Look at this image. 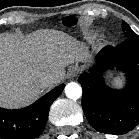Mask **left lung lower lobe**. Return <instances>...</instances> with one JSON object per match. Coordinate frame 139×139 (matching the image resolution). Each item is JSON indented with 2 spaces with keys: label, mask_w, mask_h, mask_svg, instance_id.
Instances as JSON below:
<instances>
[{
  "label": "left lung lower lobe",
  "mask_w": 139,
  "mask_h": 139,
  "mask_svg": "<svg viewBox=\"0 0 139 139\" xmlns=\"http://www.w3.org/2000/svg\"><path fill=\"white\" fill-rule=\"evenodd\" d=\"M96 59L98 67L78 79L83 89L84 113L97 131L125 134L139 123V36L126 38L116 47L103 48ZM104 68L126 73V87H108L102 75Z\"/></svg>",
  "instance_id": "0a47b994"
}]
</instances>
